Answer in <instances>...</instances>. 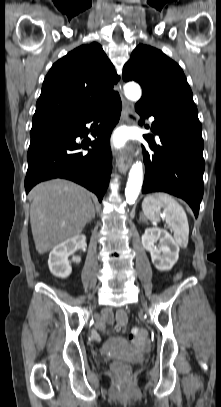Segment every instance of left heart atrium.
<instances>
[{
  "label": "left heart atrium",
  "mask_w": 221,
  "mask_h": 407,
  "mask_svg": "<svg viewBox=\"0 0 221 407\" xmlns=\"http://www.w3.org/2000/svg\"><path fill=\"white\" fill-rule=\"evenodd\" d=\"M126 141V135L122 132L116 134V136L114 137V144L117 147H121Z\"/></svg>",
  "instance_id": "left-heart-atrium-1"
}]
</instances>
